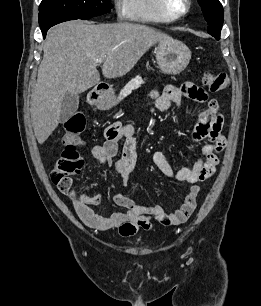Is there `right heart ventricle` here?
I'll return each mask as SVG.
<instances>
[{"instance_id": "right-heart-ventricle-1", "label": "right heart ventricle", "mask_w": 261, "mask_h": 306, "mask_svg": "<svg viewBox=\"0 0 261 306\" xmlns=\"http://www.w3.org/2000/svg\"><path fill=\"white\" fill-rule=\"evenodd\" d=\"M128 17L134 21L168 23L172 21L159 7L158 0H128Z\"/></svg>"}]
</instances>
